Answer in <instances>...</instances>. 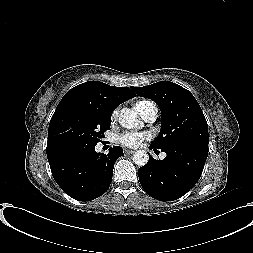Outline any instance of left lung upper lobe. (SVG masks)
<instances>
[{"label": "left lung upper lobe", "mask_w": 253, "mask_h": 253, "mask_svg": "<svg viewBox=\"0 0 253 253\" xmlns=\"http://www.w3.org/2000/svg\"><path fill=\"white\" fill-rule=\"evenodd\" d=\"M132 88L139 96L155 101L161 110V131L151 143L153 147L164 150L188 146L208 152V125L201 107L188 90L169 81Z\"/></svg>", "instance_id": "5c2ea615"}]
</instances>
